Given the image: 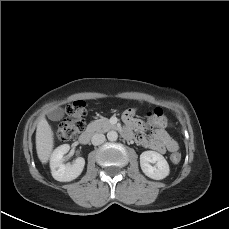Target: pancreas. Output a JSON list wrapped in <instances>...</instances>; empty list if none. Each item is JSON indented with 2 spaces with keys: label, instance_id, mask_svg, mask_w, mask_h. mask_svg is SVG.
I'll use <instances>...</instances> for the list:
<instances>
[{
  "label": "pancreas",
  "instance_id": "1",
  "mask_svg": "<svg viewBox=\"0 0 229 229\" xmlns=\"http://www.w3.org/2000/svg\"><path fill=\"white\" fill-rule=\"evenodd\" d=\"M113 128L114 126L110 124L109 120L105 117H102L99 120L91 122L88 125L87 130L90 132H106Z\"/></svg>",
  "mask_w": 229,
  "mask_h": 229
}]
</instances>
